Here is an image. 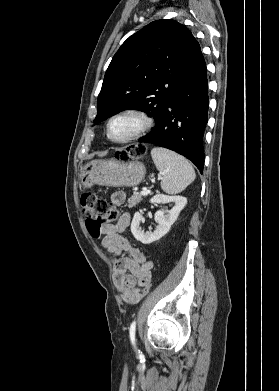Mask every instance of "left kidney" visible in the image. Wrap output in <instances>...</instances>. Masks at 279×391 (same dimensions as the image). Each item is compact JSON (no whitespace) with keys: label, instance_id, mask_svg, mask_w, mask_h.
Here are the masks:
<instances>
[{"label":"left kidney","instance_id":"left-kidney-1","mask_svg":"<svg viewBox=\"0 0 279 391\" xmlns=\"http://www.w3.org/2000/svg\"><path fill=\"white\" fill-rule=\"evenodd\" d=\"M153 204L160 203H170L172 208L168 210L166 213L157 212L155 214V221L157 222V226L153 232L146 231L144 232L139 227V224L142 220V216L139 212L134 214L132 223H131V232L136 240L140 241L143 244H150L154 241L159 240L165 234L168 233L171 226L176 221L179 213L187 204V199L183 196H168L164 194H157L153 196L150 200Z\"/></svg>","mask_w":279,"mask_h":391}]
</instances>
